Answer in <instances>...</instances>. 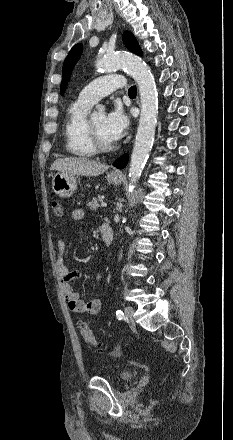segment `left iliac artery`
Here are the masks:
<instances>
[{
  "label": "left iliac artery",
  "mask_w": 233,
  "mask_h": 440,
  "mask_svg": "<svg viewBox=\"0 0 233 440\" xmlns=\"http://www.w3.org/2000/svg\"><path fill=\"white\" fill-rule=\"evenodd\" d=\"M116 316L119 320L124 318V313L121 310L116 311Z\"/></svg>",
  "instance_id": "44dca946"
}]
</instances>
